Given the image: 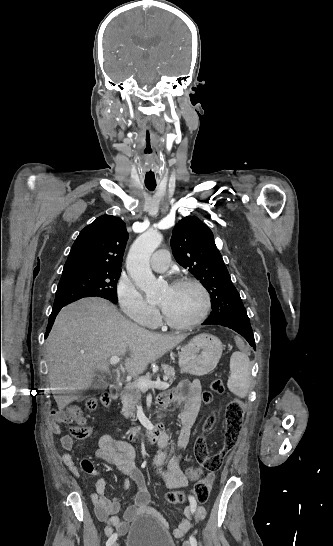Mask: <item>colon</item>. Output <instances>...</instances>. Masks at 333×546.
Here are the masks:
<instances>
[{
    "mask_svg": "<svg viewBox=\"0 0 333 546\" xmlns=\"http://www.w3.org/2000/svg\"><path fill=\"white\" fill-rule=\"evenodd\" d=\"M210 391H204L201 395V400L204 403H210L212 400L213 394H222L225 390L224 383L220 379H215L210 385ZM100 402L103 405H108L111 402V397L107 392H104L100 397ZM98 405V400L96 398H88L85 401V407L88 410H94ZM69 413L72 415H78L79 409L72 407L69 410ZM244 419V405L239 400L231 401L225 410V434L224 441L221 449L214 453L208 451L207 440L205 435H200L194 446V454L197 462L201 467L193 468L189 467L186 470L187 476L198 475L200 472L203 473V470L208 472L218 471L224 461L237 444L239 439ZM62 422L61 415H57L53 428L55 431H59V424ZM215 423V416L213 414L209 415L204 422V431L211 429ZM71 434L77 439H86L91 435L92 429L89 426L80 424L71 428ZM210 488L203 477H199L196 480V483L189 495L184 492H169L166 495V500L170 504H183L189 497H191L195 502L204 503L209 497Z\"/></svg>",
    "mask_w": 333,
    "mask_h": 546,
    "instance_id": "obj_1",
    "label": "colon"
}]
</instances>
